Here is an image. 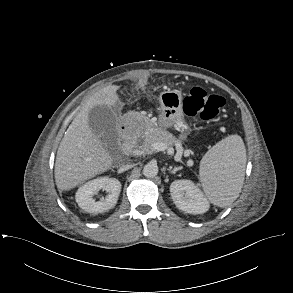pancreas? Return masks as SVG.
Masks as SVG:
<instances>
[{
  "label": "pancreas",
  "instance_id": "pancreas-1",
  "mask_svg": "<svg viewBox=\"0 0 293 293\" xmlns=\"http://www.w3.org/2000/svg\"><path fill=\"white\" fill-rule=\"evenodd\" d=\"M142 144L139 146V152L142 154H152L155 150L152 144L155 142L166 143L167 146H172L176 142V138L165 129L156 127L147 130L141 135Z\"/></svg>",
  "mask_w": 293,
  "mask_h": 293
}]
</instances>
